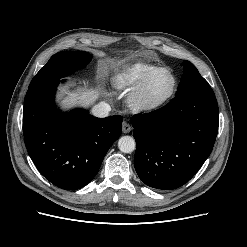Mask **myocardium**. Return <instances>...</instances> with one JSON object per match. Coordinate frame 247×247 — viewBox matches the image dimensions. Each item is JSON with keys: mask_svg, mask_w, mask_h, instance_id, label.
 <instances>
[{"mask_svg": "<svg viewBox=\"0 0 247 247\" xmlns=\"http://www.w3.org/2000/svg\"><path fill=\"white\" fill-rule=\"evenodd\" d=\"M158 71H165L167 72L171 78H172V87L169 93L162 98L161 100L155 101V102H149L142 98V91L144 88V85L148 78L155 72ZM177 90V78L173 71L165 66H155L149 70H147L137 81V83L134 85V87L130 90L128 97H127V103L129 107L136 111V112H153L156 111L163 106H165L175 95Z\"/></svg>", "mask_w": 247, "mask_h": 247, "instance_id": "obj_1", "label": "myocardium"}]
</instances>
